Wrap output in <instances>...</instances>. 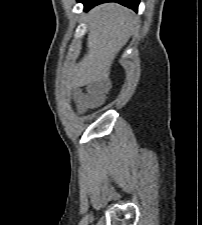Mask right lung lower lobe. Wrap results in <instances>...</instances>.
Here are the masks:
<instances>
[{"label":"right lung lower lobe","mask_w":202,"mask_h":225,"mask_svg":"<svg viewBox=\"0 0 202 225\" xmlns=\"http://www.w3.org/2000/svg\"><path fill=\"white\" fill-rule=\"evenodd\" d=\"M78 2H82L84 4L85 10L106 2H117L133 9L134 11L138 10L139 5V0H78Z\"/></svg>","instance_id":"right-lung-lower-lobe-1"}]
</instances>
